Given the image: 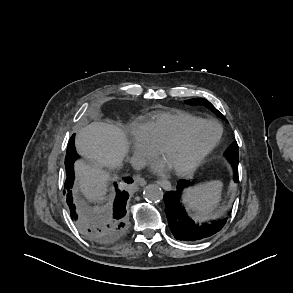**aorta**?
Segmentation results:
<instances>
[{
  "label": "aorta",
  "mask_w": 293,
  "mask_h": 293,
  "mask_svg": "<svg viewBox=\"0 0 293 293\" xmlns=\"http://www.w3.org/2000/svg\"><path fill=\"white\" fill-rule=\"evenodd\" d=\"M144 198L153 203H157L163 199V191L158 185H148L143 191Z\"/></svg>",
  "instance_id": "762f6f07"
}]
</instances>
